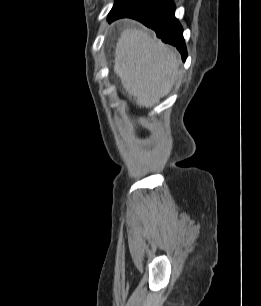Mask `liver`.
Segmentation results:
<instances>
[{
	"mask_svg": "<svg viewBox=\"0 0 261 306\" xmlns=\"http://www.w3.org/2000/svg\"><path fill=\"white\" fill-rule=\"evenodd\" d=\"M179 64L171 47L143 29H126L118 39L114 72L140 107H152L171 91Z\"/></svg>",
	"mask_w": 261,
	"mask_h": 306,
	"instance_id": "6515ba94",
	"label": "liver"
}]
</instances>
